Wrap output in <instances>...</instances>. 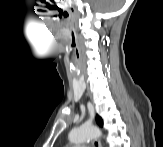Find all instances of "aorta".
I'll return each mask as SVG.
<instances>
[{
	"mask_svg": "<svg viewBox=\"0 0 163 147\" xmlns=\"http://www.w3.org/2000/svg\"><path fill=\"white\" fill-rule=\"evenodd\" d=\"M102 132L99 128L92 125H81L69 133V141L73 144H79L100 137Z\"/></svg>",
	"mask_w": 163,
	"mask_h": 147,
	"instance_id": "aorta-1",
	"label": "aorta"
}]
</instances>
